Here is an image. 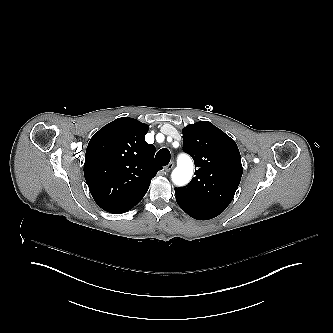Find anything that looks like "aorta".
Instances as JSON below:
<instances>
[{
  "label": "aorta",
  "instance_id": "obj_1",
  "mask_svg": "<svg viewBox=\"0 0 333 333\" xmlns=\"http://www.w3.org/2000/svg\"><path fill=\"white\" fill-rule=\"evenodd\" d=\"M193 175V163L190 158L184 161L183 165H178L171 174L172 181L177 186H184L191 180Z\"/></svg>",
  "mask_w": 333,
  "mask_h": 333
}]
</instances>
